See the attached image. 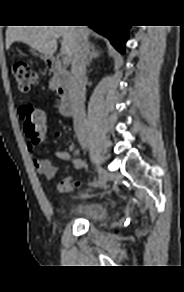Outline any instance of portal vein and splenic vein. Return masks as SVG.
<instances>
[{"label": "portal vein and splenic vein", "mask_w": 184, "mask_h": 292, "mask_svg": "<svg viewBox=\"0 0 184 292\" xmlns=\"http://www.w3.org/2000/svg\"><path fill=\"white\" fill-rule=\"evenodd\" d=\"M62 62H63L64 65L69 63V59L65 54H63V56H62Z\"/></svg>", "instance_id": "obj_1"}]
</instances>
